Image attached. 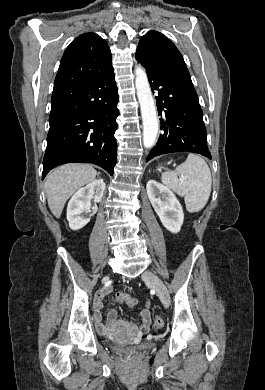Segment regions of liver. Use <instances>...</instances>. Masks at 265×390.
Masks as SVG:
<instances>
[{"label":"liver","instance_id":"1","mask_svg":"<svg viewBox=\"0 0 265 390\" xmlns=\"http://www.w3.org/2000/svg\"><path fill=\"white\" fill-rule=\"evenodd\" d=\"M97 171L88 164H65L52 170L45 181L48 206L57 218L70 196L95 180Z\"/></svg>","mask_w":265,"mask_h":390}]
</instances>
